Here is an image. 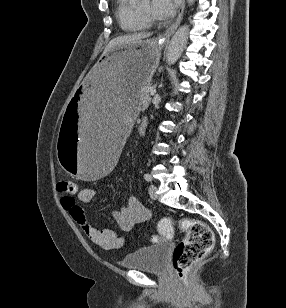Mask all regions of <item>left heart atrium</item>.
I'll use <instances>...</instances> for the list:
<instances>
[{
  "label": "left heart atrium",
  "mask_w": 286,
  "mask_h": 308,
  "mask_svg": "<svg viewBox=\"0 0 286 308\" xmlns=\"http://www.w3.org/2000/svg\"><path fill=\"white\" fill-rule=\"evenodd\" d=\"M177 0H152L151 14L160 19H167L174 14Z\"/></svg>",
  "instance_id": "obj_1"
}]
</instances>
